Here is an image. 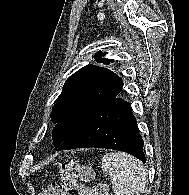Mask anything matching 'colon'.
I'll return each instance as SVG.
<instances>
[{
    "instance_id": "colon-1",
    "label": "colon",
    "mask_w": 189,
    "mask_h": 195,
    "mask_svg": "<svg viewBox=\"0 0 189 195\" xmlns=\"http://www.w3.org/2000/svg\"><path fill=\"white\" fill-rule=\"evenodd\" d=\"M60 180L46 186L45 195H81L80 181L91 179L90 171L81 164L64 161L58 166ZM93 195H107V185L103 181L95 183Z\"/></svg>"
}]
</instances>
